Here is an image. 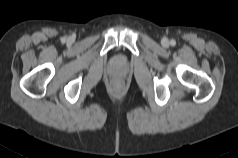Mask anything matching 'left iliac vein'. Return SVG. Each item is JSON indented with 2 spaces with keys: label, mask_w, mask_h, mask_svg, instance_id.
Returning a JSON list of instances; mask_svg holds the SVG:
<instances>
[{
  "label": "left iliac vein",
  "mask_w": 238,
  "mask_h": 158,
  "mask_svg": "<svg viewBox=\"0 0 238 158\" xmlns=\"http://www.w3.org/2000/svg\"><path fill=\"white\" fill-rule=\"evenodd\" d=\"M162 44H163L164 46H168V45H169V41H168L167 39H163V40H162Z\"/></svg>",
  "instance_id": "4c4485c4"
}]
</instances>
